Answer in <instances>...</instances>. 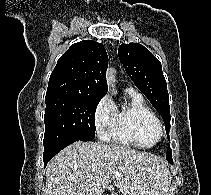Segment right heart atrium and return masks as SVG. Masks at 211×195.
Returning a JSON list of instances; mask_svg holds the SVG:
<instances>
[{"label":"right heart atrium","instance_id":"right-heart-atrium-1","mask_svg":"<svg viewBox=\"0 0 211 195\" xmlns=\"http://www.w3.org/2000/svg\"><path fill=\"white\" fill-rule=\"evenodd\" d=\"M114 119V106L108 97H103L94 112V124L99 137L108 140L111 137Z\"/></svg>","mask_w":211,"mask_h":195}]
</instances>
